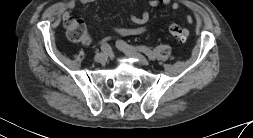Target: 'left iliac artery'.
<instances>
[{"mask_svg": "<svg viewBox=\"0 0 253 138\" xmlns=\"http://www.w3.org/2000/svg\"><path fill=\"white\" fill-rule=\"evenodd\" d=\"M117 46L121 49L124 50H134V51H140L146 54L151 60H155V55L154 53L147 47L145 46H133L129 45L126 42L119 40L117 41Z\"/></svg>", "mask_w": 253, "mask_h": 138, "instance_id": "1", "label": "left iliac artery"}]
</instances>
